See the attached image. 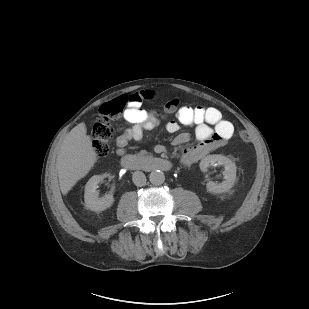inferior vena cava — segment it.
<instances>
[{
    "label": "inferior vena cava",
    "instance_id": "1",
    "mask_svg": "<svg viewBox=\"0 0 309 309\" xmlns=\"http://www.w3.org/2000/svg\"><path fill=\"white\" fill-rule=\"evenodd\" d=\"M132 180L133 183L138 187H142L146 184V176L141 171H135L133 173Z\"/></svg>",
    "mask_w": 309,
    "mask_h": 309
}]
</instances>
